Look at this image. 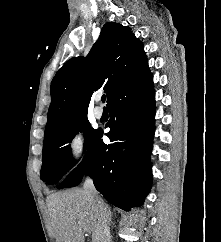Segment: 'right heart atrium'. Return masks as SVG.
Masks as SVG:
<instances>
[{
	"label": "right heart atrium",
	"instance_id": "obj_1",
	"mask_svg": "<svg viewBox=\"0 0 221 242\" xmlns=\"http://www.w3.org/2000/svg\"><path fill=\"white\" fill-rule=\"evenodd\" d=\"M89 156L85 137L80 133L72 134L64 148V161L68 173H73L86 164Z\"/></svg>",
	"mask_w": 221,
	"mask_h": 242
}]
</instances>
